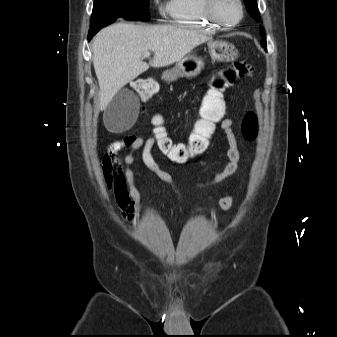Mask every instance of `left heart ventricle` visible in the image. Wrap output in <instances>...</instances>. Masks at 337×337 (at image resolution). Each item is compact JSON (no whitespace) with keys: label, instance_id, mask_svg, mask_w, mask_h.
Returning a JSON list of instances; mask_svg holds the SVG:
<instances>
[{"label":"left heart ventricle","instance_id":"obj_1","mask_svg":"<svg viewBox=\"0 0 337 337\" xmlns=\"http://www.w3.org/2000/svg\"><path fill=\"white\" fill-rule=\"evenodd\" d=\"M217 12L227 22L236 21L240 16V11L235 0H219Z\"/></svg>","mask_w":337,"mask_h":337}]
</instances>
